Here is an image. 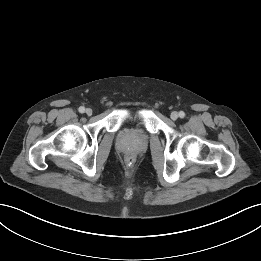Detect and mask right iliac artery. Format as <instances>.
Segmentation results:
<instances>
[{"label":"right iliac artery","mask_w":261,"mask_h":261,"mask_svg":"<svg viewBox=\"0 0 261 261\" xmlns=\"http://www.w3.org/2000/svg\"><path fill=\"white\" fill-rule=\"evenodd\" d=\"M79 112L80 113H84L85 112V107H83V106L79 107Z\"/></svg>","instance_id":"82829eb1"}]
</instances>
